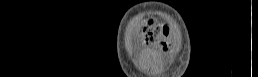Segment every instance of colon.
Returning <instances> with one entry per match:
<instances>
[{
  "instance_id": "colon-1",
  "label": "colon",
  "mask_w": 258,
  "mask_h": 77,
  "mask_svg": "<svg viewBox=\"0 0 258 77\" xmlns=\"http://www.w3.org/2000/svg\"><path fill=\"white\" fill-rule=\"evenodd\" d=\"M168 29L166 26L156 23L153 19L149 18L140 30L142 39L146 43H153L157 40L163 46L168 44Z\"/></svg>"
}]
</instances>
